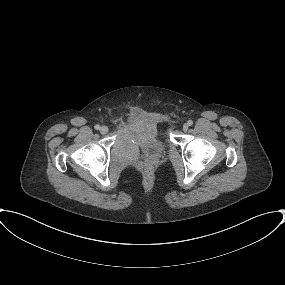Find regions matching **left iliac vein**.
<instances>
[{"label": "left iliac vein", "mask_w": 285, "mask_h": 285, "mask_svg": "<svg viewBox=\"0 0 285 285\" xmlns=\"http://www.w3.org/2000/svg\"><path fill=\"white\" fill-rule=\"evenodd\" d=\"M188 128H189V125H188V124H184V125H183V130H184V131H187Z\"/></svg>", "instance_id": "obj_1"}]
</instances>
